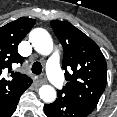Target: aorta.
Instances as JSON below:
<instances>
[{
    "instance_id": "aorta-1",
    "label": "aorta",
    "mask_w": 117,
    "mask_h": 117,
    "mask_svg": "<svg viewBox=\"0 0 117 117\" xmlns=\"http://www.w3.org/2000/svg\"><path fill=\"white\" fill-rule=\"evenodd\" d=\"M29 40L34 49L42 55H49L53 50L50 34L42 28H35L29 34ZM40 98L45 103H52L56 99V90L50 85H43L39 89Z\"/></svg>"
}]
</instances>
